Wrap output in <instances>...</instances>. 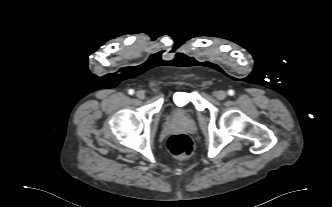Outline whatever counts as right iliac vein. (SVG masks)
Returning <instances> with one entry per match:
<instances>
[{"mask_svg":"<svg viewBox=\"0 0 332 207\" xmlns=\"http://www.w3.org/2000/svg\"><path fill=\"white\" fill-rule=\"evenodd\" d=\"M136 96L139 99H144L145 98V93L143 91H137Z\"/></svg>","mask_w":332,"mask_h":207,"instance_id":"obj_1","label":"right iliac vein"}]
</instances>
